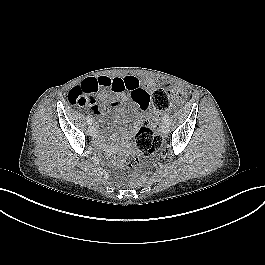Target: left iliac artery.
<instances>
[{"label":"left iliac artery","instance_id":"1","mask_svg":"<svg viewBox=\"0 0 265 265\" xmlns=\"http://www.w3.org/2000/svg\"><path fill=\"white\" fill-rule=\"evenodd\" d=\"M162 119L164 122H167L169 120V114H165Z\"/></svg>","mask_w":265,"mask_h":265}]
</instances>
